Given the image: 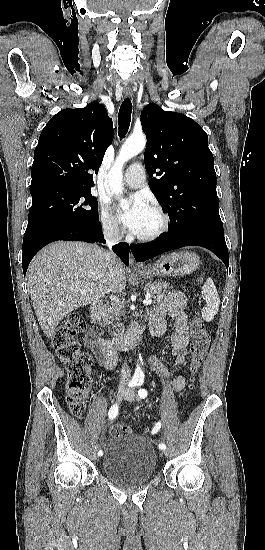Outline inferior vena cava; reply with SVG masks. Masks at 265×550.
Here are the masks:
<instances>
[{
	"mask_svg": "<svg viewBox=\"0 0 265 550\" xmlns=\"http://www.w3.org/2000/svg\"><path fill=\"white\" fill-rule=\"evenodd\" d=\"M104 229V235L107 240V242L110 245L117 244L121 241L122 237L119 233L118 226L113 223H109L103 226ZM116 255L112 251H108L105 253V261L108 267V273L110 276H113L115 274V264H116ZM130 369L128 365L125 363L122 366L121 369V375L120 380L122 383H128L130 381Z\"/></svg>",
	"mask_w": 265,
	"mask_h": 550,
	"instance_id": "obj_1",
	"label": "inferior vena cava"
}]
</instances>
